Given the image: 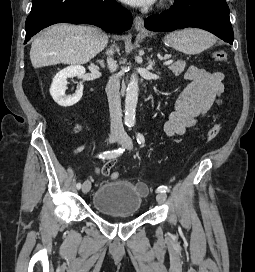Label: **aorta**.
<instances>
[{"mask_svg":"<svg viewBox=\"0 0 255 272\" xmlns=\"http://www.w3.org/2000/svg\"><path fill=\"white\" fill-rule=\"evenodd\" d=\"M138 76L133 73L130 78L126 90L125 98V117L124 121L127 126H133L135 124L136 106L138 101Z\"/></svg>","mask_w":255,"mask_h":272,"instance_id":"aorta-1","label":"aorta"}]
</instances>
